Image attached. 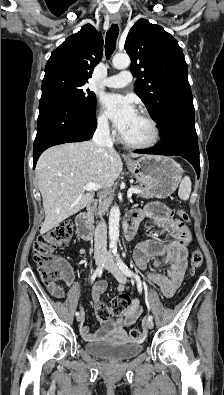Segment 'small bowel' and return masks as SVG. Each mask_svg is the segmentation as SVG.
Here are the masks:
<instances>
[{"label": "small bowel", "mask_w": 224, "mask_h": 395, "mask_svg": "<svg viewBox=\"0 0 224 395\" xmlns=\"http://www.w3.org/2000/svg\"><path fill=\"white\" fill-rule=\"evenodd\" d=\"M139 212L141 219L153 220L160 230L173 236L172 241L145 240L139 243L134 251V259L137 266L141 270L146 271L148 280L159 287L163 296L169 298L173 296L183 279L188 256V245L191 239L189 229L183 223L174 219L171 211L159 203H151L143 211ZM149 263H152L156 269L166 267V274L147 271ZM64 281L68 286H72L74 283V274L70 268L69 274ZM46 287L55 297H63L64 288L62 285L49 283L46 284ZM105 287L106 284L104 282H99L94 287L93 299L96 308L100 306L99 296L105 290ZM126 290L127 287L124 285L118 287V292L120 293ZM141 313L142 306L140 301L137 298H132L128 308L117 319H100L102 329L97 334L91 333L87 326H81V333L86 340H93L97 337L103 338L111 331H120L130 326L139 318Z\"/></svg>", "instance_id": "1"}]
</instances>
